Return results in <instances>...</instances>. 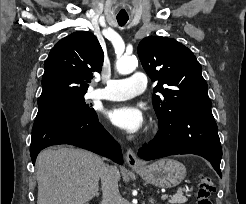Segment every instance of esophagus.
<instances>
[{
  "instance_id": "obj_1",
  "label": "esophagus",
  "mask_w": 246,
  "mask_h": 204,
  "mask_svg": "<svg viewBox=\"0 0 246 204\" xmlns=\"http://www.w3.org/2000/svg\"><path fill=\"white\" fill-rule=\"evenodd\" d=\"M126 162L132 168H138L142 166L141 161L137 158L136 154L128 149L126 152Z\"/></svg>"
}]
</instances>
